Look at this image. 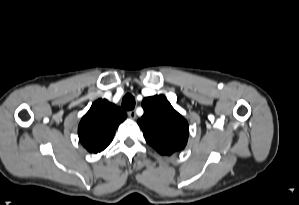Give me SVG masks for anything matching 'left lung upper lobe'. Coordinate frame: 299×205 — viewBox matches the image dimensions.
Segmentation results:
<instances>
[{
    "label": "left lung upper lobe",
    "mask_w": 299,
    "mask_h": 205,
    "mask_svg": "<svg viewBox=\"0 0 299 205\" xmlns=\"http://www.w3.org/2000/svg\"><path fill=\"white\" fill-rule=\"evenodd\" d=\"M143 116L138 124L144 137L161 155L184 149L188 140V123L164 95L147 97L142 102Z\"/></svg>",
    "instance_id": "obj_1"
}]
</instances>
